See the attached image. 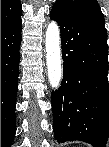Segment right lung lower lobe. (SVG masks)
<instances>
[{"label":"right lung lower lobe","instance_id":"1","mask_svg":"<svg viewBox=\"0 0 109 147\" xmlns=\"http://www.w3.org/2000/svg\"><path fill=\"white\" fill-rule=\"evenodd\" d=\"M21 44V17L1 28V146L9 147L15 136V106Z\"/></svg>","mask_w":109,"mask_h":147}]
</instances>
